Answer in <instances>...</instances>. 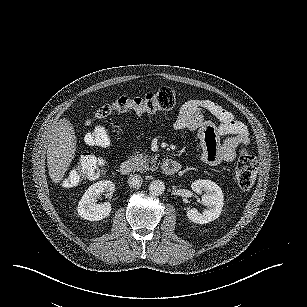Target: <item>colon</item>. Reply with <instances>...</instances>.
Returning a JSON list of instances; mask_svg holds the SVG:
<instances>
[{"label":"colon","instance_id":"1","mask_svg":"<svg viewBox=\"0 0 307 307\" xmlns=\"http://www.w3.org/2000/svg\"><path fill=\"white\" fill-rule=\"evenodd\" d=\"M177 103L173 89L164 87L156 92L147 93L141 97L121 95L114 100L101 105L96 116L104 118L113 112L135 110L139 112H154L170 110ZM110 135L103 126L95 127L86 137L90 146L106 147L110 144ZM105 161L93 154L82 155L65 175L62 183L66 187H73L86 180L94 178L104 169ZM236 180L240 188L249 190L256 179V163L254 156L246 148L241 149L235 170Z\"/></svg>","mask_w":307,"mask_h":307}]
</instances>
